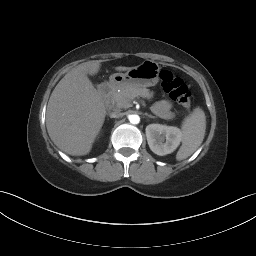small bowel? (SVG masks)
Here are the masks:
<instances>
[{
	"instance_id": "c3829d8e",
	"label": "small bowel",
	"mask_w": 256,
	"mask_h": 256,
	"mask_svg": "<svg viewBox=\"0 0 256 256\" xmlns=\"http://www.w3.org/2000/svg\"><path fill=\"white\" fill-rule=\"evenodd\" d=\"M154 111L158 116L164 119H170L174 116V113L171 108V103L167 100L157 102L154 105Z\"/></svg>"
}]
</instances>
